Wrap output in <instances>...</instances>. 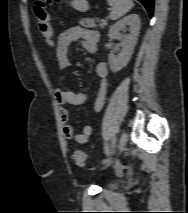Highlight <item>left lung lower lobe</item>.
Instances as JSON below:
<instances>
[{"label":"left lung lower lobe","mask_w":188,"mask_h":213,"mask_svg":"<svg viewBox=\"0 0 188 213\" xmlns=\"http://www.w3.org/2000/svg\"><path fill=\"white\" fill-rule=\"evenodd\" d=\"M140 1L147 11L149 12V15L152 17L153 16V6H154V0H138Z\"/></svg>","instance_id":"left-lung-lower-lobe-1"}]
</instances>
